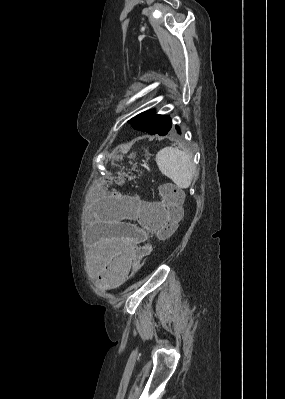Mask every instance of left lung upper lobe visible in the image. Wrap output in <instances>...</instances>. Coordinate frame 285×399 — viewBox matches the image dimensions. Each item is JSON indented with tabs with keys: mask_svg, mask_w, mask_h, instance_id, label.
Wrapping results in <instances>:
<instances>
[{
	"mask_svg": "<svg viewBox=\"0 0 285 399\" xmlns=\"http://www.w3.org/2000/svg\"><path fill=\"white\" fill-rule=\"evenodd\" d=\"M134 129L148 132L151 135H166L171 127V118L155 114L154 110L145 111L128 121Z\"/></svg>",
	"mask_w": 285,
	"mask_h": 399,
	"instance_id": "left-lung-upper-lobe-1",
	"label": "left lung upper lobe"
}]
</instances>
